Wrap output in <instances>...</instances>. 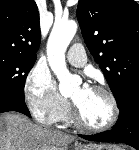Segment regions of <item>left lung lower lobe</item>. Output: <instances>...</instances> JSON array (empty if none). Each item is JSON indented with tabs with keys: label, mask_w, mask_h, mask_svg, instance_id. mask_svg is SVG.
<instances>
[{
	"label": "left lung lower lobe",
	"mask_w": 139,
	"mask_h": 150,
	"mask_svg": "<svg viewBox=\"0 0 139 150\" xmlns=\"http://www.w3.org/2000/svg\"><path fill=\"white\" fill-rule=\"evenodd\" d=\"M118 108L120 114L113 129L79 136L90 141L125 143L139 150V85L126 93Z\"/></svg>",
	"instance_id": "1"
}]
</instances>
